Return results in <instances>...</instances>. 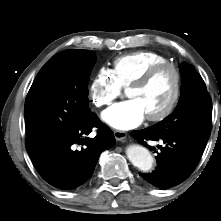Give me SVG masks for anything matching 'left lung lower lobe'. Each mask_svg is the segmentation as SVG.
<instances>
[{
	"mask_svg": "<svg viewBox=\"0 0 221 221\" xmlns=\"http://www.w3.org/2000/svg\"><path fill=\"white\" fill-rule=\"evenodd\" d=\"M131 135L141 144L152 149L146 141H163L164 147L158 146L157 167L151 173H140V176L151 185L167 189L186 180L196 168L204 148L206 140L189 135H167L156 132L148 127L143 130L131 132ZM153 150L156 149L153 147Z\"/></svg>",
	"mask_w": 221,
	"mask_h": 221,
	"instance_id": "left-lung-lower-lobe-1",
	"label": "left lung lower lobe"
}]
</instances>
